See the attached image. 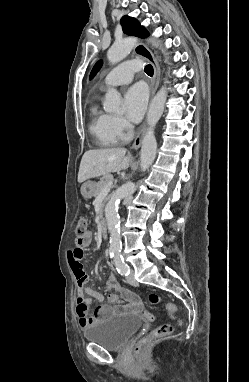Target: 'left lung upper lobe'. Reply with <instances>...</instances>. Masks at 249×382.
Segmentation results:
<instances>
[{
  "label": "left lung upper lobe",
  "instance_id": "1",
  "mask_svg": "<svg viewBox=\"0 0 249 382\" xmlns=\"http://www.w3.org/2000/svg\"><path fill=\"white\" fill-rule=\"evenodd\" d=\"M121 25L123 26L124 33L128 35H134L139 37H146L149 35L147 30L143 26H141L135 18L129 17L127 15L123 16V18L121 19ZM101 64L102 61H99L95 64L90 73V79H92L96 75V73L101 67Z\"/></svg>",
  "mask_w": 249,
  "mask_h": 382
}]
</instances>
